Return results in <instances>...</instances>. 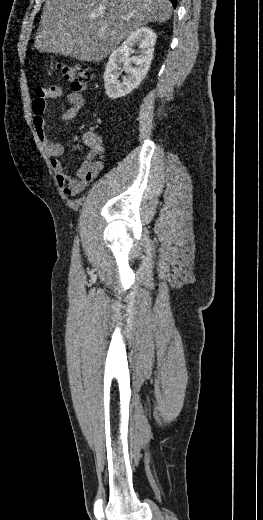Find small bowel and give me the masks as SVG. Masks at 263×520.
Here are the masks:
<instances>
[{
    "mask_svg": "<svg viewBox=\"0 0 263 520\" xmlns=\"http://www.w3.org/2000/svg\"><path fill=\"white\" fill-rule=\"evenodd\" d=\"M35 97L32 102L33 126L51 160L52 169L56 175L59 186L64 193L70 196L81 193L86 186L100 173L103 168V146L100 136L95 132L84 134V142L88 146L85 160L70 174L63 165L60 157L64 153V147L58 142L52 141L46 134L44 114L49 100L60 98L64 95L60 86L36 87ZM68 108L63 112L62 119L72 121L77 118L80 109L85 103L81 94L72 92L66 95Z\"/></svg>",
    "mask_w": 263,
    "mask_h": 520,
    "instance_id": "c3829d8e",
    "label": "small bowel"
}]
</instances>
